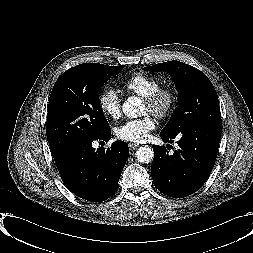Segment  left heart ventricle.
<instances>
[{
  "instance_id": "b2bd125f",
  "label": "left heart ventricle",
  "mask_w": 253,
  "mask_h": 253,
  "mask_svg": "<svg viewBox=\"0 0 253 253\" xmlns=\"http://www.w3.org/2000/svg\"><path fill=\"white\" fill-rule=\"evenodd\" d=\"M143 113H150V109L145 103L143 104Z\"/></svg>"
}]
</instances>
